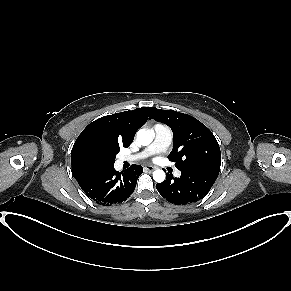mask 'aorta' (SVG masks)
Wrapping results in <instances>:
<instances>
[{
  "mask_svg": "<svg viewBox=\"0 0 291 291\" xmlns=\"http://www.w3.org/2000/svg\"><path fill=\"white\" fill-rule=\"evenodd\" d=\"M153 140V137L152 135L146 131L145 129H140L138 132H137V141L143 145V146H147L149 145ZM165 172L163 170H155L153 172V179L156 181V182H163L165 180Z\"/></svg>",
  "mask_w": 291,
  "mask_h": 291,
  "instance_id": "762f6f07",
  "label": "aorta"
}]
</instances>
